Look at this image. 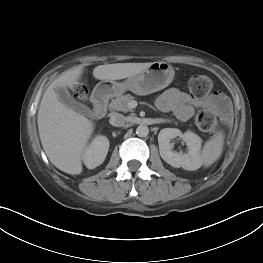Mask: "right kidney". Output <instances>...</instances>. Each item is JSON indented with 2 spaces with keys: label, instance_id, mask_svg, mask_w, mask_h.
Segmentation results:
<instances>
[{
  "label": "right kidney",
  "instance_id": "1",
  "mask_svg": "<svg viewBox=\"0 0 263 263\" xmlns=\"http://www.w3.org/2000/svg\"><path fill=\"white\" fill-rule=\"evenodd\" d=\"M109 140L106 136H96L85 149L82 156L83 162L88 169H94L101 165L109 149Z\"/></svg>",
  "mask_w": 263,
  "mask_h": 263
}]
</instances>
